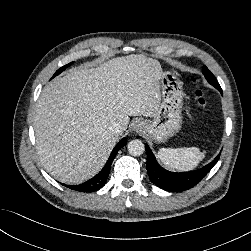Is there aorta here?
I'll use <instances>...</instances> for the list:
<instances>
[{
	"instance_id": "1",
	"label": "aorta",
	"mask_w": 251,
	"mask_h": 251,
	"mask_svg": "<svg viewBox=\"0 0 251 251\" xmlns=\"http://www.w3.org/2000/svg\"><path fill=\"white\" fill-rule=\"evenodd\" d=\"M127 149L130 155L132 156H140L145 151V146L141 140L135 139L131 140L128 145Z\"/></svg>"
}]
</instances>
